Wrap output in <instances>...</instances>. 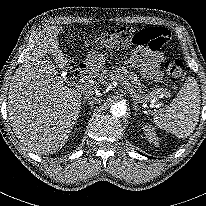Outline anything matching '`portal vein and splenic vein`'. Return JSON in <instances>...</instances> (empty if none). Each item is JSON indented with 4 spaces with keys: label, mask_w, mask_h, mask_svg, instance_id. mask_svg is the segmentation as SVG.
Here are the masks:
<instances>
[{
    "label": "portal vein and splenic vein",
    "mask_w": 206,
    "mask_h": 206,
    "mask_svg": "<svg viewBox=\"0 0 206 206\" xmlns=\"http://www.w3.org/2000/svg\"><path fill=\"white\" fill-rule=\"evenodd\" d=\"M122 84H125V85L129 86V83L126 80H123ZM84 86H86V85H83L82 82L77 85L78 88H81V87H84ZM135 97H136L137 100H139V101L141 100V97L139 95H135ZM141 101H143V100H141ZM153 102H155V101H153ZM158 105H162V104H158Z\"/></svg>",
    "instance_id": "1"
}]
</instances>
